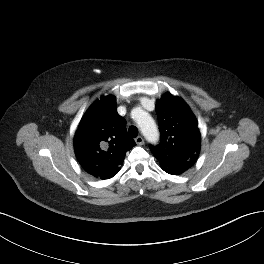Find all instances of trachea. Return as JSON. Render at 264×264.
Listing matches in <instances>:
<instances>
[{
	"instance_id": "trachea-1",
	"label": "trachea",
	"mask_w": 264,
	"mask_h": 264,
	"mask_svg": "<svg viewBox=\"0 0 264 264\" xmlns=\"http://www.w3.org/2000/svg\"><path fill=\"white\" fill-rule=\"evenodd\" d=\"M128 133L131 137H136L138 135V129L135 126H130Z\"/></svg>"
}]
</instances>
